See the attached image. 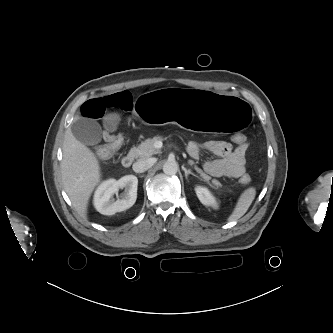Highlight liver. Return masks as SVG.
Returning <instances> with one entry per match:
<instances>
[{"instance_id": "1", "label": "liver", "mask_w": 333, "mask_h": 333, "mask_svg": "<svg viewBox=\"0 0 333 333\" xmlns=\"http://www.w3.org/2000/svg\"><path fill=\"white\" fill-rule=\"evenodd\" d=\"M62 150L64 189L73 206L85 217L89 198L101 180L98 159L88 147L74 137L71 129L66 131Z\"/></svg>"}]
</instances>
